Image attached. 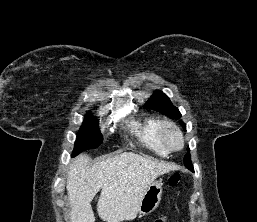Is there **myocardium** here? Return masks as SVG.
I'll use <instances>...</instances> for the list:
<instances>
[{
    "label": "myocardium",
    "mask_w": 257,
    "mask_h": 222,
    "mask_svg": "<svg viewBox=\"0 0 257 222\" xmlns=\"http://www.w3.org/2000/svg\"><path fill=\"white\" fill-rule=\"evenodd\" d=\"M168 130H172L174 131L177 136L180 139V145L178 147H173L170 145V143L168 142L167 138H166V133ZM159 138L160 141L162 142L163 146L171 152H175V151H179L181 150L184 145H185V139H184V135L182 130L180 129V127L172 122V121H162L160 126H159Z\"/></svg>",
    "instance_id": "myocardium-1"
}]
</instances>
